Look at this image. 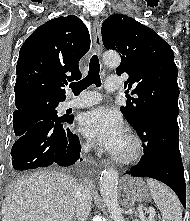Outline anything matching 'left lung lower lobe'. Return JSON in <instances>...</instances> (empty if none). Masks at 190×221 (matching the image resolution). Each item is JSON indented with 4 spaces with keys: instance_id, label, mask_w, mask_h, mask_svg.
<instances>
[{
    "instance_id": "0a47b994",
    "label": "left lung lower lobe",
    "mask_w": 190,
    "mask_h": 221,
    "mask_svg": "<svg viewBox=\"0 0 190 221\" xmlns=\"http://www.w3.org/2000/svg\"><path fill=\"white\" fill-rule=\"evenodd\" d=\"M133 127L144 143V156L126 174L150 177L167 184L186 207V186L179 151L177 114L166 111L149 112Z\"/></svg>"
}]
</instances>
